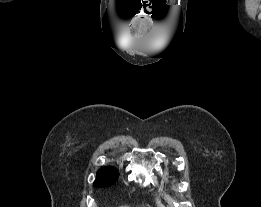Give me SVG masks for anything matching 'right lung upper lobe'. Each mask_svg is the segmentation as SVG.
I'll return each instance as SVG.
<instances>
[{
	"mask_svg": "<svg viewBox=\"0 0 261 207\" xmlns=\"http://www.w3.org/2000/svg\"><path fill=\"white\" fill-rule=\"evenodd\" d=\"M109 168H112V167H105V168H103V169H109Z\"/></svg>",
	"mask_w": 261,
	"mask_h": 207,
	"instance_id": "cb5924a9",
	"label": "right lung upper lobe"
}]
</instances>
